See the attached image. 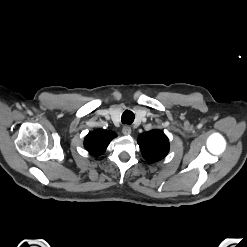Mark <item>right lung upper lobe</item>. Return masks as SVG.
<instances>
[{
    "mask_svg": "<svg viewBox=\"0 0 247 247\" xmlns=\"http://www.w3.org/2000/svg\"><path fill=\"white\" fill-rule=\"evenodd\" d=\"M116 133L106 130H97L89 132L84 140V147L94 156L101 155L116 137Z\"/></svg>",
    "mask_w": 247,
    "mask_h": 247,
    "instance_id": "cb5924a9",
    "label": "right lung upper lobe"
}]
</instances>
